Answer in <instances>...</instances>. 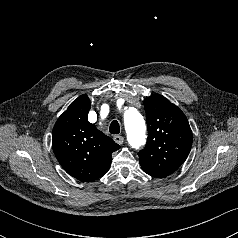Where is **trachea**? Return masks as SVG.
Returning a JSON list of instances; mask_svg holds the SVG:
<instances>
[{"mask_svg":"<svg viewBox=\"0 0 238 238\" xmlns=\"http://www.w3.org/2000/svg\"><path fill=\"white\" fill-rule=\"evenodd\" d=\"M109 131L112 134H119L120 125H119L118 121L114 120V121L111 122L110 127H109Z\"/></svg>","mask_w":238,"mask_h":238,"instance_id":"3493384b","label":"trachea"}]
</instances>
